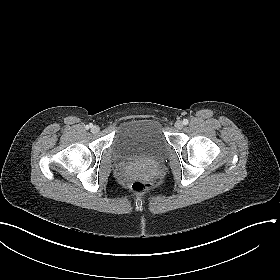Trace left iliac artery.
I'll return each instance as SVG.
<instances>
[{"mask_svg": "<svg viewBox=\"0 0 280 280\" xmlns=\"http://www.w3.org/2000/svg\"><path fill=\"white\" fill-rule=\"evenodd\" d=\"M188 123H189V121H188L187 119H184V120H183V124H184V125H188Z\"/></svg>", "mask_w": 280, "mask_h": 280, "instance_id": "1", "label": "left iliac artery"}]
</instances>
